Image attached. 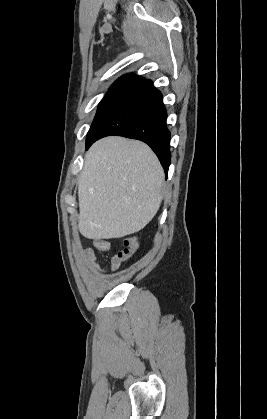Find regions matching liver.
Here are the masks:
<instances>
[{"label": "liver", "instance_id": "1", "mask_svg": "<svg viewBox=\"0 0 267 419\" xmlns=\"http://www.w3.org/2000/svg\"><path fill=\"white\" fill-rule=\"evenodd\" d=\"M164 178L158 158L145 143L118 136L94 143L78 184L81 234L101 240L143 229L161 205Z\"/></svg>", "mask_w": 267, "mask_h": 419}]
</instances>
